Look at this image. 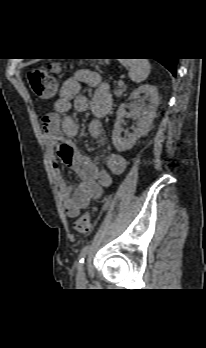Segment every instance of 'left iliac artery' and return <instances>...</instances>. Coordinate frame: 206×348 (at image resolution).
<instances>
[{
  "label": "left iliac artery",
  "instance_id": "1",
  "mask_svg": "<svg viewBox=\"0 0 206 348\" xmlns=\"http://www.w3.org/2000/svg\"><path fill=\"white\" fill-rule=\"evenodd\" d=\"M112 204H113V201L110 198H107L105 205H103V209H101V214L106 215L108 213V210H110V207ZM90 248H91L90 245H86L82 248L78 256V262H77L78 267H80L84 263L86 255L88 254Z\"/></svg>",
  "mask_w": 206,
  "mask_h": 348
}]
</instances>
